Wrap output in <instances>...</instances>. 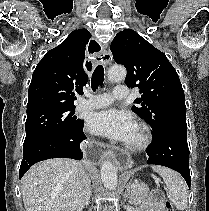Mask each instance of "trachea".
<instances>
[{"mask_svg":"<svg viewBox=\"0 0 209 211\" xmlns=\"http://www.w3.org/2000/svg\"><path fill=\"white\" fill-rule=\"evenodd\" d=\"M104 80V68L102 65H98L91 78V87L95 91L97 87L102 86Z\"/></svg>","mask_w":209,"mask_h":211,"instance_id":"trachea-1","label":"trachea"}]
</instances>
